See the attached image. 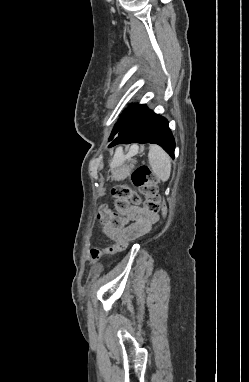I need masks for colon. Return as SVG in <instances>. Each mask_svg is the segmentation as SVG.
<instances>
[{
  "instance_id": "1",
  "label": "colon",
  "mask_w": 249,
  "mask_h": 382,
  "mask_svg": "<svg viewBox=\"0 0 249 382\" xmlns=\"http://www.w3.org/2000/svg\"><path fill=\"white\" fill-rule=\"evenodd\" d=\"M132 183L139 189L144 198V209L152 214H159L163 210L162 200L159 194L156 177L148 166L136 168L131 175ZM114 197V209L103 206L98 217L108 222L112 228L121 229L126 225L124 214L132 204L139 203L140 199L129 185H117L112 189ZM128 245V239L120 238L114 245L106 249L93 248L90 251L92 260H98L102 256H111L123 252Z\"/></svg>"
}]
</instances>
